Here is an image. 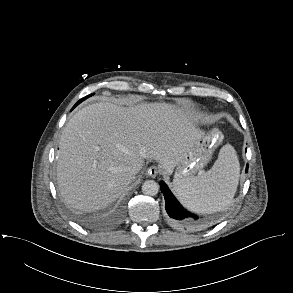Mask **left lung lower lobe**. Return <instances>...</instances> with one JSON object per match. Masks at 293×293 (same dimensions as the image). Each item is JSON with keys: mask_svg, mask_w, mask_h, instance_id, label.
Here are the masks:
<instances>
[{"mask_svg": "<svg viewBox=\"0 0 293 293\" xmlns=\"http://www.w3.org/2000/svg\"><path fill=\"white\" fill-rule=\"evenodd\" d=\"M247 171L248 165L246 167V172ZM160 188L165 197V209L167 211L170 222L174 226L184 229H193L198 227L199 223L194 221L197 220L198 217L188 212L181 206L164 181L160 182ZM191 218L194 220L192 221Z\"/></svg>", "mask_w": 293, "mask_h": 293, "instance_id": "obj_1", "label": "left lung lower lobe"}]
</instances>
